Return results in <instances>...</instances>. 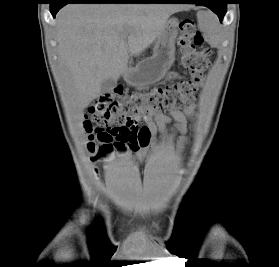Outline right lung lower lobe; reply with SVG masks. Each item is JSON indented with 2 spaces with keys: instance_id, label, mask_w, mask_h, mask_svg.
Masks as SVG:
<instances>
[{
  "instance_id": "right-lung-lower-lobe-1",
  "label": "right lung lower lobe",
  "mask_w": 279,
  "mask_h": 267,
  "mask_svg": "<svg viewBox=\"0 0 279 267\" xmlns=\"http://www.w3.org/2000/svg\"><path fill=\"white\" fill-rule=\"evenodd\" d=\"M163 0H53L51 13L55 17L56 13L68 3H160Z\"/></svg>"
}]
</instances>
